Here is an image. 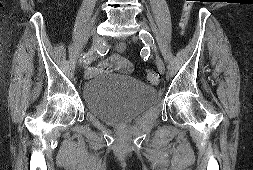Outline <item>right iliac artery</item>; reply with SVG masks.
<instances>
[{
	"label": "right iliac artery",
	"instance_id": "1",
	"mask_svg": "<svg viewBox=\"0 0 253 170\" xmlns=\"http://www.w3.org/2000/svg\"><path fill=\"white\" fill-rule=\"evenodd\" d=\"M85 57H87V54H85V55L83 56V59H84ZM80 61H81V60H80Z\"/></svg>",
	"mask_w": 253,
	"mask_h": 170
}]
</instances>
